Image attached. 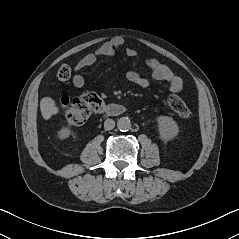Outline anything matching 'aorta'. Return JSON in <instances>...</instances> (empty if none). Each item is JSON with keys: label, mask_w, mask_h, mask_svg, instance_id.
Listing matches in <instances>:
<instances>
[{"label": "aorta", "mask_w": 239, "mask_h": 239, "mask_svg": "<svg viewBox=\"0 0 239 239\" xmlns=\"http://www.w3.org/2000/svg\"><path fill=\"white\" fill-rule=\"evenodd\" d=\"M117 127L120 131H129L132 127V123L129 118L127 117H122L118 119L117 121Z\"/></svg>", "instance_id": "aorta-1"}]
</instances>
